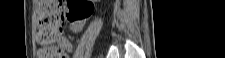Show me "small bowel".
Wrapping results in <instances>:
<instances>
[{
  "label": "small bowel",
  "mask_w": 225,
  "mask_h": 58,
  "mask_svg": "<svg viewBox=\"0 0 225 58\" xmlns=\"http://www.w3.org/2000/svg\"><path fill=\"white\" fill-rule=\"evenodd\" d=\"M83 27V20H80V21H71L70 23V30L72 32H79ZM61 45L64 49V57L63 58H68V52H70L72 50V45L71 43L69 42L68 39L66 38H63L61 40Z\"/></svg>",
  "instance_id": "small-bowel-1"
}]
</instances>
